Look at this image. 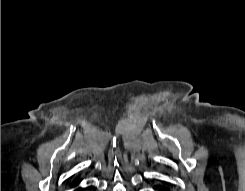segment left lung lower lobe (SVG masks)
Returning a JSON list of instances; mask_svg holds the SVG:
<instances>
[{
    "label": "left lung lower lobe",
    "instance_id": "left-lung-lower-lobe-1",
    "mask_svg": "<svg viewBox=\"0 0 245 191\" xmlns=\"http://www.w3.org/2000/svg\"><path fill=\"white\" fill-rule=\"evenodd\" d=\"M158 191H170V188L169 186L166 184V185H161L158 189Z\"/></svg>",
    "mask_w": 245,
    "mask_h": 191
}]
</instances>
